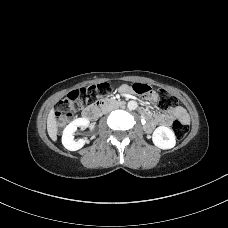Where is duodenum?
Here are the masks:
<instances>
[{"label": "duodenum", "instance_id": "410a0bca", "mask_svg": "<svg viewBox=\"0 0 228 228\" xmlns=\"http://www.w3.org/2000/svg\"><path fill=\"white\" fill-rule=\"evenodd\" d=\"M122 105H123V101L119 99H102L96 104L84 109L82 112V117L90 121H95L99 118V116L102 113V110L105 107L122 106ZM145 120H146L145 127L150 129H152L160 121L157 117H150V116H146Z\"/></svg>", "mask_w": 228, "mask_h": 228}]
</instances>
